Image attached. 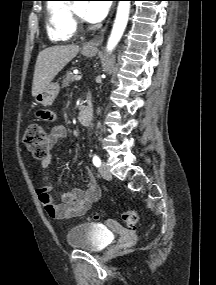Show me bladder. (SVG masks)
<instances>
[{"label":"bladder","mask_w":216,"mask_h":285,"mask_svg":"<svg viewBox=\"0 0 216 285\" xmlns=\"http://www.w3.org/2000/svg\"><path fill=\"white\" fill-rule=\"evenodd\" d=\"M66 239L67 243L73 248L89 252H100L111 244L113 236L105 226L83 223L70 228Z\"/></svg>","instance_id":"1"}]
</instances>
